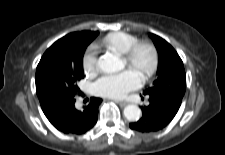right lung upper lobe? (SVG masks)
I'll return each instance as SVG.
<instances>
[{"label":"right lung upper lobe","instance_id":"cb5924a9","mask_svg":"<svg viewBox=\"0 0 225 155\" xmlns=\"http://www.w3.org/2000/svg\"><path fill=\"white\" fill-rule=\"evenodd\" d=\"M97 35H98L97 31L74 32L59 39L58 41L55 42V44L58 45H74L78 43L90 44V42L94 40ZM40 104L44 105L46 103L40 102Z\"/></svg>","mask_w":225,"mask_h":155}]
</instances>
